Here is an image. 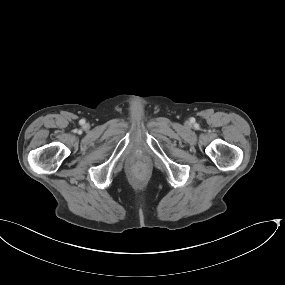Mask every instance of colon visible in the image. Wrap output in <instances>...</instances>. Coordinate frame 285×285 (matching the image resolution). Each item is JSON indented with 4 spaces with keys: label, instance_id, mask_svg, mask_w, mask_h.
I'll use <instances>...</instances> for the list:
<instances>
[{
    "label": "colon",
    "instance_id": "1",
    "mask_svg": "<svg viewBox=\"0 0 285 285\" xmlns=\"http://www.w3.org/2000/svg\"><path fill=\"white\" fill-rule=\"evenodd\" d=\"M145 175V169L143 166L141 165H138L136 168H135V171L134 173L131 175V179L134 181L140 177H143Z\"/></svg>",
    "mask_w": 285,
    "mask_h": 285
}]
</instances>
